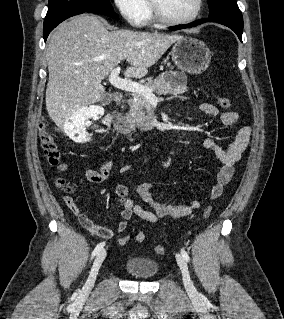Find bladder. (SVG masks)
Returning a JSON list of instances; mask_svg holds the SVG:
<instances>
[{
  "instance_id": "1",
  "label": "bladder",
  "mask_w": 284,
  "mask_h": 319,
  "mask_svg": "<svg viewBox=\"0 0 284 319\" xmlns=\"http://www.w3.org/2000/svg\"><path fill=\"white\" fill-rule=\"evenodd\" d=\"M126 272L138 279L149 280L159 272L158 263L150 258L131 256L124 263Z\"/></svg>"
}]
</instances>
